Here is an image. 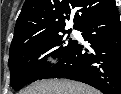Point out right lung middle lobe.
Returning a JSON list of instances; mask_svg holds the SVG:
<instances>
[{
  "label": "right lung middle lobe",
  "mask_w": 121,
  "mask_h": 94,
  "mask_svg": "<svg viewBox=\"0 0 121 94\" xmlns=\"http://www.w3.org/2000/svg\"><path fill=\"white\" fill-rule=\"evenodd\" d=\"M69 30L55 32L34 31L26 34L17 43L10 47L9 68L11 72L10 84L15 90L38 80L49 68L50 63L41 54L55 46V57H64L75 45L76 41L69 38ZM68 33V36L64 35Z\"/></svg>",
  "instance_id": "dd1d6c3e"
}]
</instances>
